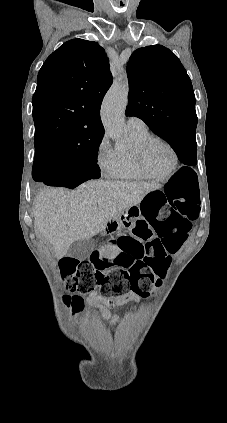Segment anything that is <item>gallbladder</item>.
<instances>
[{
	"label": "gallbladder",
	"mask_w": 227,
	"mask_h": 423,
	"mask_svg": "<svg viewBox=\"0 0 227 423\" xmlns=\"http://www.w3.org/2000/svg\"><path fill=\"white\" fill-rule=\"evenodd\" d=\"M93 247H95V239H77L73 241L68 249L69 257H76V259H86L90 255Z\"/></svg>",
	"instance_id": "bac80fb5"
}]
</instances>
